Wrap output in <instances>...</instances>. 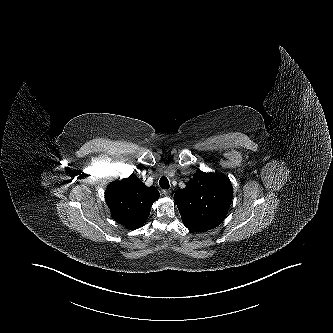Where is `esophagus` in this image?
<instances>
[{
	"label": "esophagus",
	"instance_id": "obj_1",
	"mask_svg": "<svg viewBox=\"0 0 333 333\" xmlns=\"http://www.w3.org/2000/svg\"><path fill=\"white\" fill-rule=\"evenodd\" d=\"M171 193H172V191L171 190H168V189H164L163 190V194L165 195V196H171Z\"/></svg>",
	"mask_w": 333,
	"mask_h": 333
}]
</instances>
